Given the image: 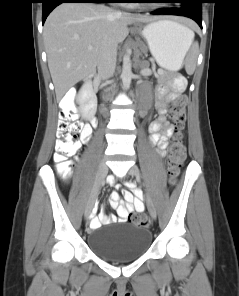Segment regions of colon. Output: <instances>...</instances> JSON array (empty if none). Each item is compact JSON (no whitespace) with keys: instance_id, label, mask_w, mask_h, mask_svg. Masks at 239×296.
Segmentation results:
<instances>
[{"instance_id":"colon-1","label":"colon","mask_w":239,"mask_h":296,"mask_svg":"<svg viewBox=\"0 0 239 296\" xmlns=\"http://www.w3.org/2000/svg\"><path fill=\"white\" fill-rule=\"evenodd\" d=\"M186 115V99L181 96L173 101L168 107V116L175 127V135L172 140L169 154V177L170 183L176 182L182 164L185 159L186 149L183 143L181 130ZM81 124L75 120L73 100L62 103L59 112L58 139L56 142V154L54 159L57 162V169L62 176H66L70 170L69 157L79 148V134ZM134 224L147 226L149 218L146 213H136L131 217Z\"/></svg>"}]
</instances>
